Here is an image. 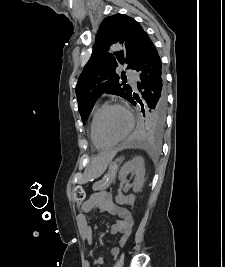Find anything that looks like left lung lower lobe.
Wrapping results in <instances>:
<instances>
[{"instance_id":"left-lung-lower-lobe-1","label":"left lung lower lobe","mask_w":225,"mask_h":267,"mask_svg":"<svg viewBox=\"0 0 225 267\" xmlns=\"http://www.w3.org/2000/svg\"><path fill=\"white\" fill-rule=\"evenodd\" d=\"M134 70L139 75L138 90L141 93L139 97L132 92L129 102L133 105L139 103L142 109L145 107L156 118H165V77L162 71L161 59L148 35L143 39Z\"/></svg>"}]
</instances>
